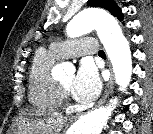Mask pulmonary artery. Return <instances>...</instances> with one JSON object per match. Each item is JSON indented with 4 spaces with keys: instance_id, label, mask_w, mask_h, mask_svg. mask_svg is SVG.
<instances>
[{
    "instance_id": "1",
    "label": "pulmonary artery",
    "mask_w": 153,
    "mask_h": 134,
    "mask_svg": "<svg viewBox=\"0 0 153 134\" xmlns=\"http://www.w3.org/2000/svg\"><path fill=\"white\" fill-rule=\"evenodd\" d=\"M50 50L58 58L77 57L85 54H96L98 52V45L94 38L86 37L52 43Z\"/></svg>"
}]
</instances>
